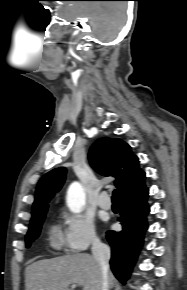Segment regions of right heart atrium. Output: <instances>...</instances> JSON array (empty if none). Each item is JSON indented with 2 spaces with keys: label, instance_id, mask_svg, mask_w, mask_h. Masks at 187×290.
<instances>
[{
  "label": "right heart atrium",
  "instance_id": "obj_1",
  "mask_svg": "<svg viewBox=\"0 0 187 290\" xmlns=\"http://www.w3.org/2000/svg\"><path fill=\"white\" fill-rule=\"evenodd\" d=\"M63 242L69 252L79 253L99 242L93 220L83 214L63 213Z\"/></svg>",
  "mask_w": 187,
  "mask_h": 290
}]
</instances>
